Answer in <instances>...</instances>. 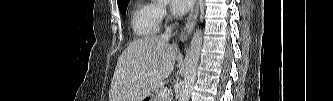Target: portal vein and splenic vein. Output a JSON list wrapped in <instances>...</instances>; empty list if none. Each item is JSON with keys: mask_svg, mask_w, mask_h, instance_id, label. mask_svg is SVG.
Segmentation results:
<instances>
[{"mask_svg": "<svg viewBox=\"0 0 333 101\" xmlns=\"http://www.w3.org/2000/svg\"><path fill=\"white\" fill-rule=\"evenodd\" d=\"M170 92H169V89L167 87H163L161 90H160V96L162 98H165L167 96H169Z\"/></svg>", "mask_w": 333, "mask_h": 101, "instance_id": "portal-vein-and-splenic-vein-1", "label": "portal vein and splenic vein"}]
</instances>
